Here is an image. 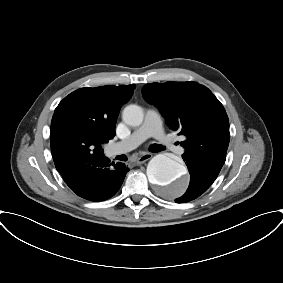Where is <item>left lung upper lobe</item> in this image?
I'll return each mask as SVG.
<instances>
[{
    "instance_id": "left-lung-upper-lobe-1",
    "label": "left lung upper lobe",
    "mask_w": 283,
    "mask_h": 283,
    "mask_svg": "<svg viewBox=\"0 0 283 283\" xmlns=\"http://www.w3.org/2000/svg\"><path fill=\"white\" fill-rule=\"evenodd\" d=\"M143 96L157 106L168 126L186 137L182 158L202 170L219 174L229 145V120L218 99L196 82L146 84Z\"/></svg>"
}]
</instances>
